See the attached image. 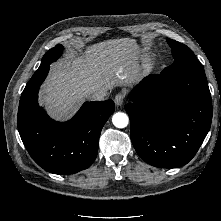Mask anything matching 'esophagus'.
<instances>
[{"label": "esophagus", "mask_w": 221, "mask_h": 221, "mask_svg": "<svg viewBox=\"0 0 221 221\" xmlns=\"http://www.w3.org/2000/svg\"><path fill=\"white\" fill-rule=\"evenodd\" d=\"M124 97V94H117L114 99L115 105L121 106L123 104Z\"/></svg>", "instance_id": "1"}]
</instances>
